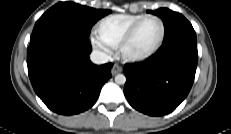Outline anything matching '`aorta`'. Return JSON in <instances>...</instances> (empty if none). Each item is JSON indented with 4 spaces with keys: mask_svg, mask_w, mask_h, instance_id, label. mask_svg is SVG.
Returning a JSON list of instances; mask_svg holds the SVG:
<instances>
[{
    "mask_svg": "<svg viewBox=\"0 0 231 134\" xmlns=\"http://www.w3.org/2000/svg\"><path fill=\"white\" fill-rule=\"evenodd\" d=\"M115 82L119 85H123L126 82V77L123 74H118L115 76Z\"/></svg>",
    "mask_w": 231,
    "mask_h": 134,
    "instance_id": "762f6f07",
    "label": "aorta"
}]
</instances>
